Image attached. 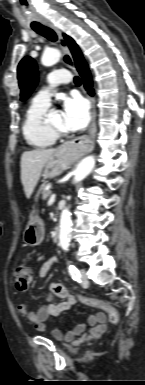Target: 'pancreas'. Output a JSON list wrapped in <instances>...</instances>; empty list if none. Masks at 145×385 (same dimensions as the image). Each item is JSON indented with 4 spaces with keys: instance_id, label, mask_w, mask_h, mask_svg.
Masks as SVG:
<instances>
[{
    "instance_id": "1",
    "label": "pancreas",
    "mask_w": 145,
    "mask_h": 385,
    "mask_svg": "<svg viewBox=\"0 0 145 385\" xmlns=\"http://www.w3.org/2000/svg\"><path fill=\"white\" fill-rule=\"evenodd\" d=\"M51 195V191L46 189V187H44L42 189V197H43V200H46L49 196Z\"/></svg>"
}]
</instances>
